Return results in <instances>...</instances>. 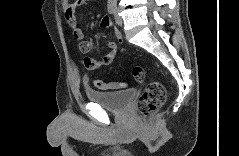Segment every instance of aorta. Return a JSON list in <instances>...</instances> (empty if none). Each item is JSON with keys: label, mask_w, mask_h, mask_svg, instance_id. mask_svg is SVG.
<instances>
[{"label": "aorta", "mask_w": 239, "mask_h": 156, "mask_svg": "<svg viewBox=\"0 0 239 156\" xmlns=\"http://www.w3.org/2000/svg\"><path fill=\"white\" fill-rule=\"evenodd\" d=\"M111 2H113V3H115L116 2V0H110Z\"/></svg>", "instance_id": "762f6f07"}]
</instances>
